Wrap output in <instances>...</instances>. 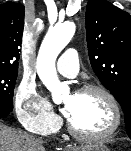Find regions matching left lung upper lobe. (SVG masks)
<instances>
[{
    "mask_svg": "<svg viewBox=\"0 0 131 151\" xmlns=\"http://www.w3.org/2000/svg\"><path fill=\"white\" fill-rule=\"evenodd\" d=\"M88 54L101 83L114 95L131 135V16L106 0H89L85 15Z\"/></svg>",
    "mask_w": 131,
    "mask_h": 151,
    "instance_id": "5c2ea615",
    "label": "left lung upper lobe"
}]
</instances>
